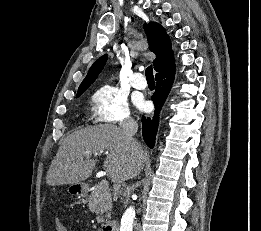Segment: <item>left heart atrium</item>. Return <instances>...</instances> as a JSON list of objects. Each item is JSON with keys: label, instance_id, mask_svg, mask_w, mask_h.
I'll use <instances>...</instances> for the list:
<instances>
[{"label": "left heart atrium", "instance_id": "obj_1", "mask_svg": "<svg viewBox=\"0 0 261 231\" xmlns=\"http://www.w3.org/2000/svg\"><path fill=\"white\" fill-rule=\"evenodd\" d=\"M136 105L140 108V109H144L146 107V102L141 99V98H137L136 99Z\"/></svg>", "mask_w": 261, "mask_h": 231}]
</instances>
